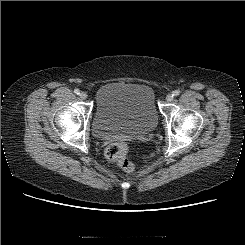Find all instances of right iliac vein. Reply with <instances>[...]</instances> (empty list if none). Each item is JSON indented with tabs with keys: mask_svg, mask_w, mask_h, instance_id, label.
Segmentation results:
<instances>
[{
	"mask_svg": "<svg viewBox=\"0 0 245 245\" xmlns=\"http://www.w3.org/2000/svg\"><path fill=\"white\" fill-rule=\"evenodd\" d=\"M79 96L83 100H85L87 98V94L85 92H81Z\"/></svg>",
	"mask_w": 245,
	"mask_h": 245,
	"instance_id": "obj_1",
	"label": "right iliac vein"
}]
</instances>
